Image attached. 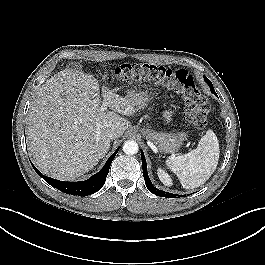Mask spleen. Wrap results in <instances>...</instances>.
Wrapping results in <instances>:
<instances>
[{
  "mask_svg": "<svg viewBox=\"0 0 265 265\" xmlns=\"http://www.w3.org/2000/svg\"><path fill=\"white\" fill-rule=\"evenodd\" d=\"M219 153L218 139L212 130H208L196 149L187 154L169 157L166 165L177 175L183 188L193 189L204 184L213 174Z\"/></svg>",
  "mask_w": 265,
  "mask_h": 265,
  "instance_id": "3e777b00",
  "label": "spleen"
}]
</instances>
